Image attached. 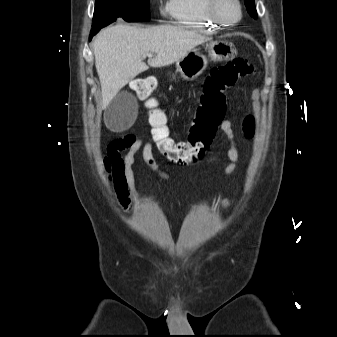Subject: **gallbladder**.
Segmentation results:
<instances>
[{
	"instance_id": "gallbladder-1",
	"label": "gallbladder",
	"mask_w": 337,
	"mask_h": 337,
	"mask_svg": "<svg viewBox=\"0 0 337 337\" xmlns=\"http://www.w3.org/2000/svg\"><path fill=\"white\" fill-rule=\"evenodd\" d=\"M137 100L129 92L117 94L105 109L104 121L112 131H121L129 128L137 116Z\"/></svg>"
}]
</instances>
